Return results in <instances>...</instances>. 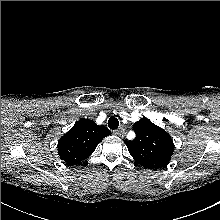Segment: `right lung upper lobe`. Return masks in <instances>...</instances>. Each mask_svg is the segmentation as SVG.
I'll return each mask as SVG.
<instances>
[{
  "label": "right lung upper lobe",
  "mask_w": 220,
  "mask_h": 220,
  "mask_svg": "<svg viewBox=\"0 0 220 220\" xmlns=\"http://www.w3.org/2000/svg\"><path fill=\"white\" fill-rule=\"evenodd\" d=\"M110 134L105 126L81 119L58 141L60 159L69 165L78 164L90 156L103 138Z\"/></svg>",
  "instance_id": "right-lung-upper-lobe-1"
}]
</instances>
